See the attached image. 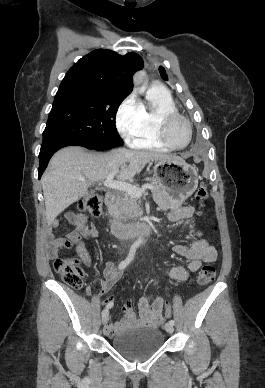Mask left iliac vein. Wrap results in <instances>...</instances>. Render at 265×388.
Listing matches in <instances>:
<instances>
[{
  "label": "left iliac vein",
  "instance_id": "left-iliac-vein-1",
  "mask_svg": "<svg viewBox=\"0 0 265 388\" xmlns=\"http://www.w3.org/2000/svg\"><path fill=\"white\" fill-rule=\"evenodd\" d=\"M165 330L168 332V333H173L174 332V327L173 325H171L170 323H166L165 326H164Z\"/></svg>",
  "mask_w": 265,
  "mask_h": 388
}]
</instances>
